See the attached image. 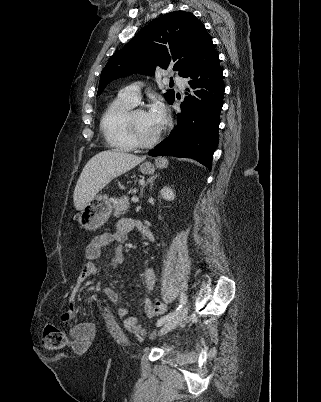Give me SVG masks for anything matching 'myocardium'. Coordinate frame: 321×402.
I'll use <instances>...</instances> for the list:
<instances>
[{
  "mask_svg": "<svg viewBox=\"0 0 321 402\" xmlns=\"http://www.w3.org/2000/svg\"><path fill=\"white\" fill-rule=\"evenodd\" d=\"M144 111L145 110L143 108L136 107V108L130 109L125 116L126 132L129 136L130 140L132 141V143L138 148H150V147L154 146L160 140V138L166 128V125L161 127L160 130L157 132V134L149 140L141 139L135 129L133 117H134V114H136L137 112H144Z\"/></svg>",
  "mask_w": 321,
  "mask_h": 402,
  "instance_id": "1",
  "label": "myocardium"
}]
</instances>
